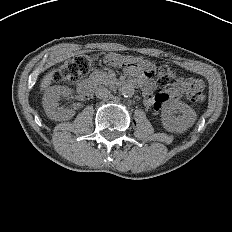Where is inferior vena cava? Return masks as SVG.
Wrapping results in <instances>:
<instances>
[{"label":"inferior vena cava","mask_w":232,"mask_h":232,"mask_svg":"<svg viewBox=\"0 0 232 232\" xmlns=\"http://www.w3.org/2000/svg\"><path fill=\"white\" fill-rule=\"evenodd\" d=\"M95 95L99 99H105V98L109 97L110 91L107 88H105L104 86H100V87L96 88Z\"/></svg>","instance_id":"1"}]
</instances>
